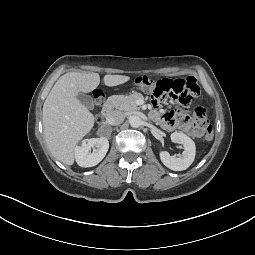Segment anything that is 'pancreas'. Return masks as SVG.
I'll use <instances>...</instances> for the list:
<instances>
[{
    "instance_id": "cf45deb5",
    "label": "pancreas",
    "mask_w": 255,
    "mask_h": 255,
    "mask_svg": "<svg viewBox=\"0 0 255 255\" xmlns=\"http://www.w3.org/2000/svg\"><path fill=\"white\" fill-rule=\"evenodd\" d=\"M144 98L140 93H132L130 95H113L109 98V102L113 107L125 112L138 110L136 105L138 99Z\"/></svg>"
}]
</instances>
